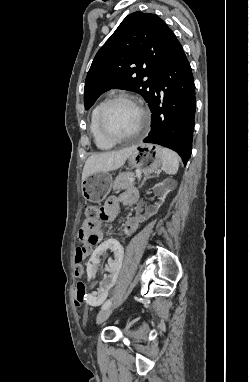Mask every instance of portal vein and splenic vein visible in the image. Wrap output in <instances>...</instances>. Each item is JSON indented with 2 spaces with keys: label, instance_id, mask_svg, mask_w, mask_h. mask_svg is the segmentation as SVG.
I'll use <instances>...</instances> for the list:
<instances>
[{
  "label": "portal vein and splenic vein",
  "instance_id": "1",
  "mask_svg": "<svg viewBox=\"0 0 249 382\" xmlns=\"http://www.w3.org/2000/svg\"><path fill=\"white\" fill-rule=\"evenodd\" d=\"M134 180H135V179H134L133 177L129 179V181H131V182H134Z\"/></svg>",
  "mask_w": 249,
  "mask_h": 382
}]
</instances>
